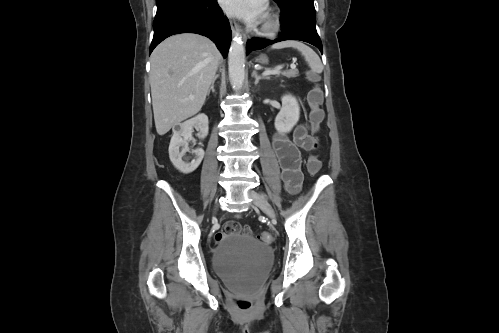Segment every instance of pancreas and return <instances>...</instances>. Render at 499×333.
Here are the masks:
<instances>
[{
  "label": "pancreas",
  "instance_id": "obj_1",
  "mask_svg": "<svg viewBox=\"0 0 499 333\" xmlns=\"http://www.w3.org/2000/svg\"><path fill=\"white\" fill-rule=\"evenodd\" d=\"M280 74L287 77V78H291V77H297L299 75V72L296 68H292L288 71L279 72L276 75H280Z\"/></svg>",
  "mask_w": 499,
  "mask_h": 333
}]
</instances>
